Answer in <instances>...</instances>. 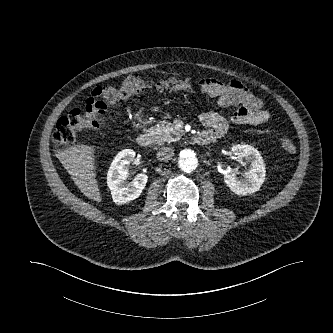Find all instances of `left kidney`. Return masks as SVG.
Segmentation results:
<instances>
[{
    "label": "left kidney",
    "mask_w": 333,
    "mask_h": 333,
    "mask_svg": "<svg viewBox=\"0 0 333 333\" xmlns=\"http://www.w3.org/2000/svg\"><path fill=\"white\" fill-rule=\"evenodd\" d=\"M239 161L250 162V168L245 173V179H238L235 173L227 174L224 182L237 195L252 194L259 190L265 180V164L259 151L246 144H237L231 148Z\"/></svg>",
    "instance_id": "1"
}]
</instances>
